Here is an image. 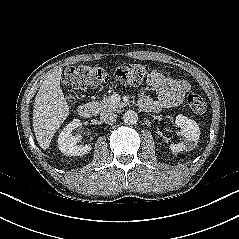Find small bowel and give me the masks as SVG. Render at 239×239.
Segmentation results:
<instances>
[{
  "label": "small bowel",
  "mask_w": 239,
  "mask_h": 239,
  "mask_svg": "<svg viewBox=\"0 0 239 239\" xmlns=\"http://www.w3.org/2000/svg\"><path fill=\"white\" fill-rule=\"evenodd\" d=\"M147 84L158 93L156 99L143 96L140 100L141 107L150 112L180 104L189 88L186 82L166 77L157 70L150 72Z\"/></svg>",
  "instance_id": "obj_1"
}]
</instances>
